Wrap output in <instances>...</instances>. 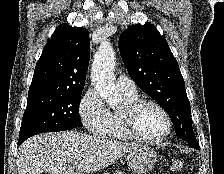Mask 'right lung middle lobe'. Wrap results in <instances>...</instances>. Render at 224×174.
Segmentation results:
<instances>
[{
    "label": "right lung middle lobe",
    "instance_id": "dd1d6c3e",
    "mask_svg": "<svg viewBox=\"0 0 224 174\" xmlns=\"http://www.w3.org/2000/svg\"><path fill=\"white\" fill-rule=\"evenodd\" d=\"M82 91L44 93L28 96L19 139L43 132L82 127L79 105Z\"/></svg>",
    "mask_w": 224,
    "mask_h": 174
}]
</instances>
